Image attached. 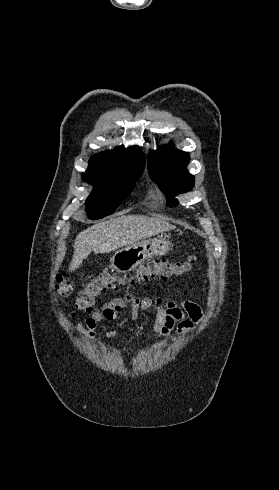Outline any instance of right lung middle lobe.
I'll return each mask as SVG.
<instances>
[{
	"mask_svg": "<svg viewBox=\"0 0 279 490\" xmlns=\"http://www.w3.org/2000/svg\"><path fill=\"white\" fill-rule=\"evenodd\" d=\"M144 169H129L107 178L84 177L94 189L86 200L87 212L91 219L112 214L135 187Z\"/></svg>",
	"mask_w": 279,
	"mask_h": 490,
	"instance_id": "right-lung-middle-lobe-1",
	"label": "right lung middle lobe"
}]
</instances>
